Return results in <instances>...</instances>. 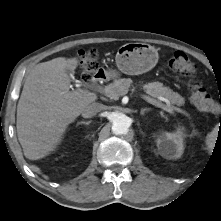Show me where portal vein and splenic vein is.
<instances>
[{"mask_svg":"<svg viewBox=\"0 0 221 221\" xmlns=\"http://www.w3.org/2000/svg\"><path fill=\"white\" fill-rule=\"evenodd\" d=\"M110 88L109 87H105L104 89H103V93L107 96L108 94H110ZM128 92V90H126V91H124L123 92V95L124 94H126ZM142 98L146 101V102H148V103H150V104H152V105H154V106H156V107H158V108H161V109H163L164 111H166V112H169V113H173L174 112V110H177L178 112H180V113H183V114H185V112L183 111V110H181V109H179V108H173V107H171L170 105H164L163 103H161L160 101H158V100H155V99H153V98H151V97H149V96H147V95H142ZM161 99L160 100H162V101H165L166 103H169V101L167 100V99H165V98H162V97H160Z\"/></svg>","mask_w":221,"mask_h":221,"instance_id":"1","label":"portal vein and splenic vein"}]
</instances>
